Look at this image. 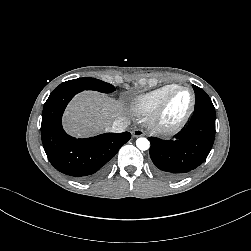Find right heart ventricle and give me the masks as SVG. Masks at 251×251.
Segmentation results:
<instances>
[{"label":"right heart ventricle","mask_w":251,"mask_h":251,"mask_svg":"<svg viewBox=\"0 0 251 251\" xmlns=\"http://www.w3.org/2000/svg\"><path fill=\"white\" fill-rule=\"evenodd\" d=\"M177 85L170 84L139 95L129 102L130 111L138 117L149 116L164 98Z\"/></svg>","instance_id":"1"}]
</instances>
